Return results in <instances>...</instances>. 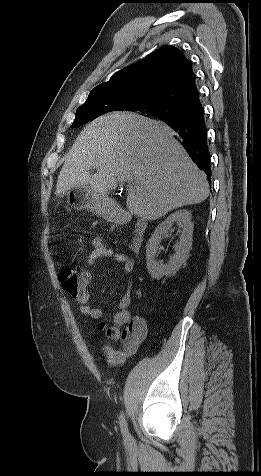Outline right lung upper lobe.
<instances>
[{
    "label": "right lung upper lobe",
    "instance_id": "right-lung-upper-lobe-1",
    "mask_svg": "<svg viewBox=\"0 0 261 476\" xmlns=\"http://www.w3.org/2000/svg\"><path fill=\"white\" fill-rule=\"evenodd\" d=\"M103 99L116 102L122 111L133 112L152 104L186 110L200 101L190 61L168 45L115 73L95 87L85 103Z\"/></svg>",
    "mask_w": 261,
    "mask_h": 476
}]
</instances>
